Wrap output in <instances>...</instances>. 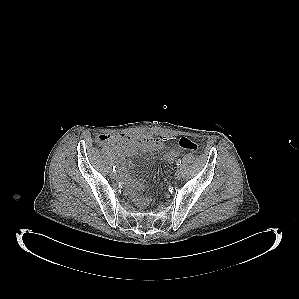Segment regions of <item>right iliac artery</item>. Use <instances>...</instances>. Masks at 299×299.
Segmentation results:
<instances>
[{
    "instance_id": "right-iliac-artery-1",
    "label": "right iliac artery",
    "mask_w": 299,
    "mask_h": 299,
    "mask_svg": "<svg viewBox=\"0 0 299 299\" xmlns=\"http://www.w3.org/2000/svg\"><path fill=\"white\" fill-rule=\"evenodd\" d=\"M115 170H116V166L113 165V171H115Z\"/></svg>"
}]
</instances>
